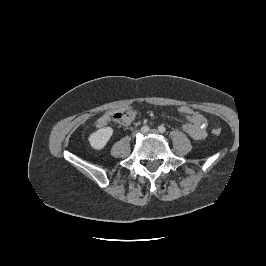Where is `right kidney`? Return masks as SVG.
Here are the masks:
<instances>
[{
  "label": "right kidney",
  "mask_w": 266,
  "mask_h": 266,
  "mask_svg": "<svg viewBox=\"0 0 266 266\" xmlns=\"http://www.w3.org/2000/svg\"><path fill=\"white\" fill-rule=\"evenodd\" d=\"M112 135L113 129L111 127H104L92 133L88 140L93 149L101 150L106 146Z\"/></svg>",
  "instance_id": "right-kidney-1"
}]
</instances>
